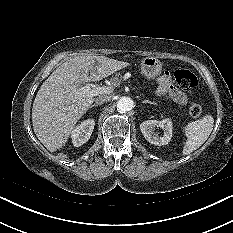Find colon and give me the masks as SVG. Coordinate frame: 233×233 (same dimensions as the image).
I'll return each mask as SVG.
<instances>
[{
    "instance_id": "5ec220e1",
    "label": "colon",
    "mask_w": 233,
    "mask_h": 233,
    "mask_svg": "<svg viewBox=\"0 0 233 233\" xmlns=\"http://www.w3.org/2000/svg\"><path fill=\"white\" fill-rule=\"evenodd\" d=\"M173 77L175 82L187 92H191L198 85V80L195 74L187 69L175 70ZM189 112L193 118H198L202 113V109L200 105L191 103Z\"/></svg>"
}]
</instances>
